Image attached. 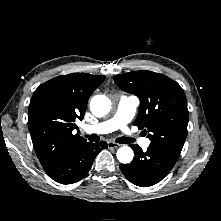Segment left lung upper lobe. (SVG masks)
I'll return each instance as SVG.
<instances>
[{
    "label": "left lung upper lobe",
    "instance_id": "obj_1",
    "mask_svg": "<svg viewBox=\"0 0 221 221\" xmlns=\"http://www.w3.org/2000/svg\"><path fill=\"white\" fill-rule=\"evenodd\" d=\"M114 82L140 99L134 125L149 134L150 147L179 157L188 133L187 101L180 85L146 70L116 75Z\"/></svg>",
    "mask_w": 221,
    "mask_h": 221
}]
</instances>
